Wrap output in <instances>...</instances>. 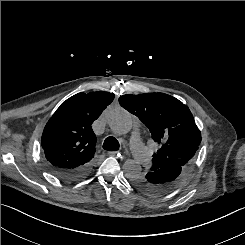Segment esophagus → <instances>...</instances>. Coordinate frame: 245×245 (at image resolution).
<instances>
[{
    "label": "esophagus",
    "mask_w": 245,
    "mask_h": 245,
    "mask_svg": "<svg viewBox=\"0 0 245 245\" xmlns=\"http://www.w3.org/2000/svg\"><path fill=\"white\" fill-rule=\"evenodd\" d=\"M108 155H109V156H118V157H120L121 159H123V156H122L120 153L116 152V151H109V152H108Z\"/></svg>",
    "instance_id": "34e87169"
}]
</instances>
